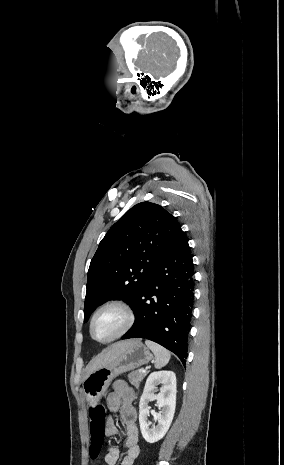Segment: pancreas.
Listing matches in <instances>:
<instances>
[{"label":"pancreas","instance_id":"1","mask_svg":"<svg viewBox=\"0 0 284 465\" xmlns=\"http://www.w3.org/2000/svg\"><path fill=\"white\" fill-rule=\"evenodd\" d=\"M147 373H138V371H132L130 375H128V379L131 385H134L136 389H139V385L141 381H143L144 377H146Z\"/></svg>","mask_w":284,"mask_h":465}]
</instances>
